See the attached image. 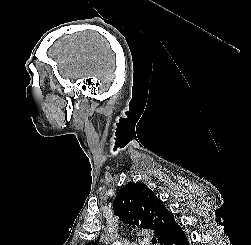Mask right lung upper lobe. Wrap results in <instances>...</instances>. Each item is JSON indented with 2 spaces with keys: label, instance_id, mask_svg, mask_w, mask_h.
<instances>
[{
  "label": "right lung upper lobe",
  "instance_id": "cb5924a9",
  "mask_svg": "<svg viewBox=\"0 0 251 245\" xmlns=\"http://www.w3.org/2000/svg\"><path fill=\"white\" fill-rule=\"evenodd\" d=\"M114 213L125 224L153 230L160 245L180 229L163 202L141 182H130L119 191L114 201ZM98 244L99 240H96L87 245Z\"/></svg>",
  "mask_w": 251,
  "mask_h": 245
}]
</instances>
